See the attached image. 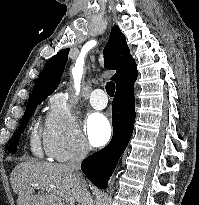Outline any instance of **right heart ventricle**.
I'll return each mask as SVG.
<instances>
[{
  "label": "right heart ventricle",
  "instance_id": "e07e8e85",
  "mask_svg": "<svg viewBox=\"0 0 199 205\" xmlns=\"http://www.w3.org/2000/svg\"><path fill=\"white\" fill-rule=\"evenodd\" d=\"M30 147H31L32 152L36 156H38V157L42 156V148H41V144H40V135L36 129L33 131L32 135H31Z\"/></svg>",
  "mask_w": 199,
  "mask_h": 205
}]
</instances>
